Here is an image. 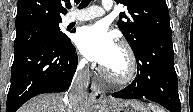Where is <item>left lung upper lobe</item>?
<instances>
[{
    "mask_svg": "<svg viewBox=\"0 0 193 112\" xmlns=\"http://www.w3.org/2000/svg\"><path fill=\"white\" fill-rule=\"evenodd\" d=\"M127 6L128 14L121 12L117 25L133 52L148 38L171 31L165 0H115Z\"/></svg>",
    "mask_w": 193,
    "mask_h": 112,
    "instance_id": "1",
    "label": "left lung upper lobe"
}]
</instances>
